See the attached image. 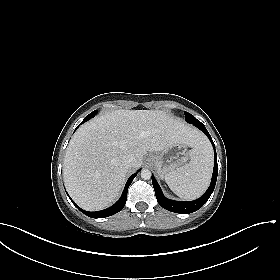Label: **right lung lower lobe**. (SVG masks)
<instances>
[{
	"mask_svg": "<svg viewBox=\"0 0 280 280\" xmlns=\"http://www.w3.org/2000/svg\"><path fill=\"white\" fill-rule=\"evenodd\" d=\"M89 119H91L89 116H86V118L81 122L84 123L86 121H88ZM77 129V128H76ZM137 173H134L133 175L130 176V178L128 179L125 188L123 190V193L120 197V199L111 207L105 209V210H101V211H96V212H88L85 210H82L81 208H79L71 199V201L73 202V204L85 215L92 217V218H104V217H109L112 216L116 213H118L119 211H121L123 209V207L125 206L126 200H127V191L128 188L130 186V184L132 183L133 179L136 177Z\"/></svg>",
	"mask_w": 280,
	"mask_h": 280,
	"instance_id": "right-lung-lower-lobe-1",
	"label": "right lung lower lobe"
}]
</instances>
